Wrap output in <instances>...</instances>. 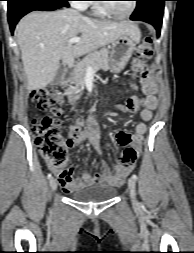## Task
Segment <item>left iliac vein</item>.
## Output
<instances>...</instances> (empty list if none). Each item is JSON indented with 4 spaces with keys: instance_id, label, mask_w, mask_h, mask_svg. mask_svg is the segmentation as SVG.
<instances>
[{
    "instance_id": "1",
    "label": "left iliac vein",
    "mask_w": 194,
    "mask_h": 253,
    "mask_svg": "<svg viewBox=\"0 0 194 253\" xmlns=\"http://www.w3.org/2000/svg\"><path fill=\"white\" fill-rule=\"evenodd\" d=\"M128 188H129V191H130V196H131L132 203L134 205H137L136 185H135V181L133 179L128 180Z\"/></svg>"
}]
</instances>
